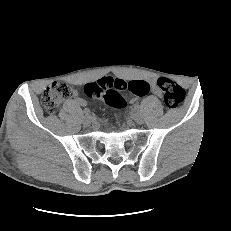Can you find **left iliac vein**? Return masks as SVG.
<instances>
[{
	"label": "left iliac vein",
	"instance_id": "obj_1",
	"mask_svg": "<svg viewBox=\"0 0 231 231\" xmlns=\"http://www.w3.org/2000/svg\"><path fill=\"white\" fill-rule=\"evenodd\" d=\"M134 121L137 123V124H142L144 122V118L141 114L139 113H136L134 115Z\"/></svg>",
	"mask_w": 231,
	"mask_h": 231
}]
</instances>
